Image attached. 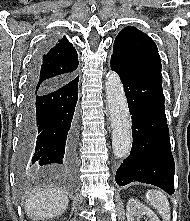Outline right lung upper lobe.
Listing matches in <instances>:
<instances>
[{
  "label": "right lung upper lobe",
  "mask_w": 190,
  "mask_h": 221,
  "mask_svg": "<svg viewBox=\"0 0 190 221\" xmlns=\"http://www.w3.org/2000/svg\"><path fill=\"white\" fill-rule=\"evenodd\" d=\"M78 55L65 36L41 56L36 65V87L65 82L75 76Z\"/></svg>",
  "instance_id": "1"
}]
</instances>
